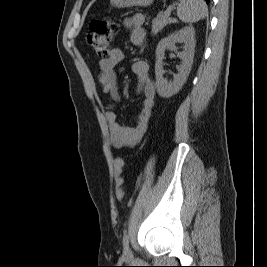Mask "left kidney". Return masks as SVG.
Segmentation results:
<instances>
[{
    "instance_id": "1",
    "label": "left kidney",
    "mask_w": 267,
    "mask_h": 267,
    "mask_svg": "<svg viewBox=\"0 0 267 267\" xmlns=\"http://www.w3.org/2000/svg\"><path fill=\"white\" fill-rule=\"evenodd\" d=\"M176 43H184L183 51L178 52V57L182 60L178 68V74L174 75L172 81H167L164 78L165 71L163 69V59L166 49L177 51ZM195 30L192 26L184 27L179 31H175L169 36L161 39L156 48V88L157 93L162 98H169L182 88L191 71L195 52Z\"/></svg>"
}]
</instances>
